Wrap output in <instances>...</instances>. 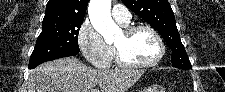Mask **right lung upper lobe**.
Instances as JSON below:
<instances>
[{"label":"right lung upper lobe","mask_w":225,"mask_h":92,"mask_svg":"<svg viewBox=\"0 0 225 92\" xmlns=\"http://www.w3.org/2000/svg\"><path fill=\"white\" fill-rule=\"evenodd\" d=\"M89 0H49L43 24L83 22Z\"/></svg>","instance_id":"cb5924a9"}]
</instances>
